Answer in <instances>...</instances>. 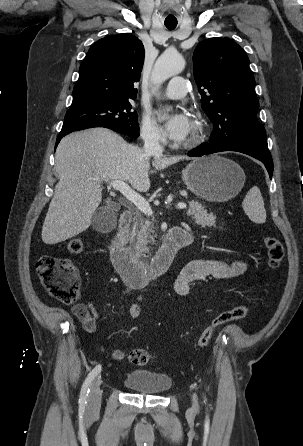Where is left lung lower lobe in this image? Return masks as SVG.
Listing matches in <instances>:
<instances>
[{
  "instance_id": "left-lung-lower-lobe-1",
  "label": "left lung lower lobe",
  "mask_w": 303,
  "mask_h": 446,
  "mask_svg": "<svg viewBox=\"0 0 303 446\" xmlns=\"http://www.w3.org/2000/svg\"><path fill=\"white\" fill-rule=\"evenodd\" d=\"M222 151H237V152H241V153L250 155V156L260 160L261 162H263L265 164V167L267 168L270 178L272 177L273 161H272V157L269 152L255 150L252 148L242 147V146L233 145V144L225 145V146L209 145V146H201V147H198V148L190 151L188 153V156L199 157L202 155H208V154L222 152Z\"/></svg>"
}]
</instances>
